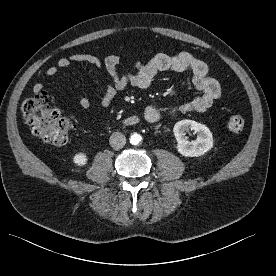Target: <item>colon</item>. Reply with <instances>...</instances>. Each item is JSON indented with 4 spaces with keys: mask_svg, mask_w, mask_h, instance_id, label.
Listing matches in <instances>:
<instances>
[{
    "mask_svg": "<svg viewBox=\"0 0 276 276\" xmlns=\"http://www.w3.org/2000/svg\"><path fill=\"white\" fill-rule=\"evenodd\" d=\"M21 113L33 134L53 145H63L69 140L74 124L64 118L61 111L51 105L48 92L39 91L23 99ZM245 127V119L241 114H233L228 120V129L232 133H240Z\"/></svg>",
    "mask_w": 276,
    "mask_h": 276,
    "instance_id": "colon-1",
    "label": "colon"
}]
</instances>
